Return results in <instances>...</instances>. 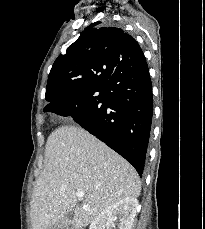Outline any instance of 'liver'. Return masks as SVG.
<instances>
[{
	"label": "liver",
	"instance_id": "1",
	"mask_svg": "<svg viewBox=\"0 0 205 229\" xmlns=\"http://www.w3.org/2000/svg\"><path fill=\"white\" fill-rule=\"evenodd\" d=\"M78 191L84 193L82 206ZM140 192L129 162L86 130L61 126L47 140L44 169L32 195V227L49 229L73 211V227L82 229L117 201Z\"/></svg>",
	"mask_w": 205,
	"mask_h": 229
}]
</instances>
